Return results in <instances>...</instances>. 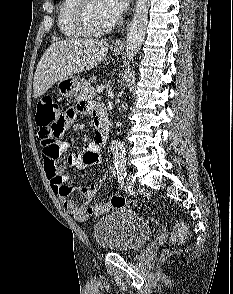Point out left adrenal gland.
I'll use <instances>...</instances> for the list:
<instances>
[{
    "mask_svg": "<svg viewBox=\"0 0 233 294\" xmlns=\"http://www.w3.org/2000/svg\"><path fill=\"white\" fill-rule=\"evenodd\" d=\"M110 81L108 82V85H107V92H108V96L110 97V98H112L113 97V94H112V91H111V87H110Z\"/></svg>",
    "mask_w": 233,
    "mask_h": 294,
    "instance_id": "a2214340",
    "label": "left adrenal gland"
}]
</instances>
